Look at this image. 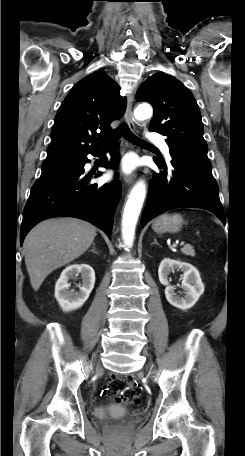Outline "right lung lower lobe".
Instances as JSON below:
<instances>
[{"instance_id": "98d812e1", "label": "right lung lower lobe", "mask_w": 245, "mask_h": 456, "mask_svg": "<svg viewBox=\"0 0 245 456\" xmlns=\"http://www.w3.org/2000/svg\"><path fill=\"white\" fill-rule=\"evenodd\" d=\"M101 148L92 152L99 156ZM101 164L116 165L119 160L116 149L110 152ZM89 162L87 156L72 163L71 167L55 172L41 174L33 185L23 212L20 229V244L38 222L57 216H70L86 220L111 236L112 221L116 204L121 195V182L114 180L99 186L89 184L90 178L84 176V165ZM101 175L98 172L95 177Z\"/></svg>"}]
</instances>
